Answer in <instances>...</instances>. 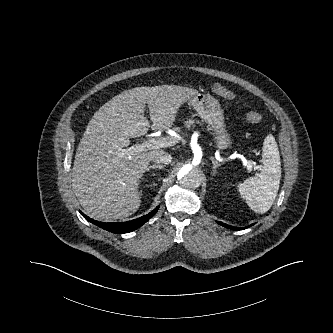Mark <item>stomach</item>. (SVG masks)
<instances>
[{"instance_id": "0dacf381", "label": "stomach", "mask_w": 333, "mask_h": 333, "mask_svg": "<svg viewBox=\"0 0 333 333\" xmlns=\"http://www.w3.org/2000/svg\"><path fill=\"white\" fill-rule=\"evenodd\" d=\"M207 128L214 135L216 146L220 150L227 149L231 146V135L227 130L224 122L223 109L219 101L209 94L197 93L188 100Z\"/></svg>"}]
</instances>
